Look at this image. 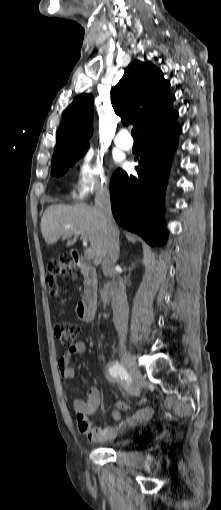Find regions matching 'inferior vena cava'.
<instances>
[{"label": "inferior vena cava", "instance_id": "inferior-vena-cava-1", "mask_svg": "<svg viewBox=\"0 0 221 510\" xmlns=\"http://www.w3.org/2000/svg\"><path fill=\"white\" fill-rule=\"evenodd\" d=\"M95 206L102 214L103 225L107 232L108 241L102 261V270L105 276L116 279L114 269L119 257V231L111 211L110 193L107 188H100L96 192ZM113 314L114 324L120 339L121 349H125V341L128 331L129 307L125 291V285L121 280L114 282Z\"/></svg>", "mask_w": 221, "mask_h": 510}]
</instances>
